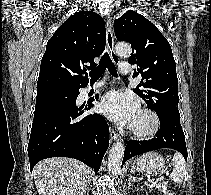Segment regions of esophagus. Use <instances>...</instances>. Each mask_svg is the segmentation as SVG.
Returning <instances> with one entry per match:
<instances>
[{"instance_id": "obj_1", "label": "esophagus", "mask_w": 211, "mask_h": 195, "mask_svg": "<svg viewBox=\"0 0 211 195\" xmlns=\"http://www.w3.org/2000/svg\"><path fill=\"white\" fill-rule=\"evenodd\" d=\"M106 24H107V29H106V45L108 52L110 54V57L112 61L115 64L119 63V57L117 56L115 50H114V35H113V30H112V22H111V17L108 15L106 19ZM110 137L112 141H116L119 139L118 133L111 129L110 130Z\"/></svg>"}]
</instances>
